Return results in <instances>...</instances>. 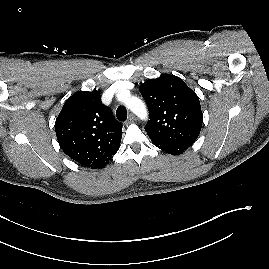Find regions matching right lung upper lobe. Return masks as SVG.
Returning a JSON list of instances; mask_svg holds the SVG:
<instances>
[{
  "mask_svg": "<svg viewBox=\"0 0 269 269\" xmlns=\"http://www.w3.org/2000/svg\"><path fill=\"white\" fill-rule=\"evenodd\" d=\"M61 149L88 168L100 169L118 151L122 124L104 106L100 92L80 91L69 97L55 122Z\"/></svg>",
  "mask_w": 269,
  "mask_h": 269,
  "instance_id": "obj_1",
  "label": "right lung upper lobe"
}]
</instances>
